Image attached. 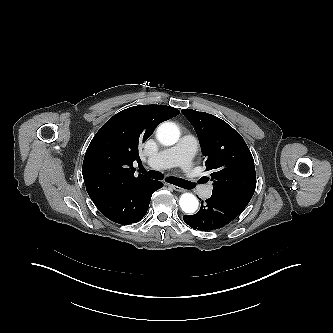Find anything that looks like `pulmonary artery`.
Here are the masks:
<instances>
[{"label": "pulmonary artery", "mask_w": 333, "mask_h": 333, "mask_svg": "<svg viewBox=\"0 0 333 333\" xmlns=\"http://www.w3.org/2000/svg\"><path fill=\"white\" fill-rule=\"evenodd\" d=\"M197 146L198 142L195 137L185 135L180 139L177 145L150 157L147 163L153 168H170L179 166L183 169H189L191 167L192 158L197 150ZM211 193V187H206L202 191V195L206 198L210 197Z\"/></svg>", "instance_id": "e3ab8cb5"}]
</instances>
